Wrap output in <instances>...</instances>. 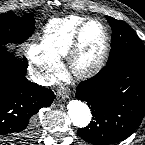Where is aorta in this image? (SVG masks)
I'll return each mask as SVG.
<instances>
[{
	"instance_id": "aorta-1",
	"label": "aorta",
	"mask_w": 145,
	"mask_h": 145,
	"mask_svg": "<svg viewBox=\"0 0 145 145\" xmlns=\"http://www.w3.org/2000/svg\"><path fill=\"white\" fill-rule=\"evenodd\" d=\"M67 112L72 124L76 127H86L92 118L89 107L79 100H71L67 105Z\"/></svg>"
}]
</instances>
